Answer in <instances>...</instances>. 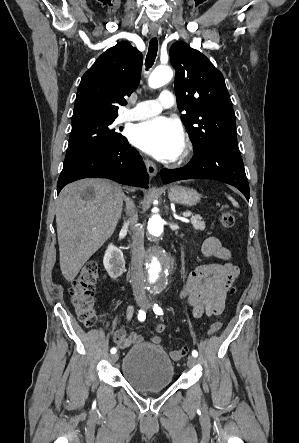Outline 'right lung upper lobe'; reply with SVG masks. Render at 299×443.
I'll use <instances>...</instances> for the list:
<instances>
[{
	"label": "right lung upper lobe",
	"instance_id": "1",
	"mask_svg": "<svg viewBox=\"0 0 299 443\" xmlns=\"http://www.w3.org/2000/svg\"><path fill=\"white\" fill-rule=\"evenodd\" d=\"M142 54L129 42H120L98 57L83 75L75 100L72 123L102 117H117L124 96L138 86Z\"/></svg>",
	"mask_w": 299,
	"mask_h": 443
}]
</instances>
